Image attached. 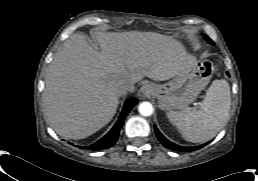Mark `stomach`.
Listing matches in <instances>:
<instances>
[{
  "label": "stomach",
  "instance_id": "stomach-1",
  "mask_svg": "<svg viewBox=\"0 0 258 181\" xmlns=\"http://www.w3.org/2000/svg\"><path fill=\"white\" fill-rule=\"evenodd\" d=\"M214 72L209 60L197 61L194 66L161 85L152 84L151 95L158 100L160 109L170 111L191 104L206 87Z\"/></svg>",
  "mask_w": 258,
  "mask_h": 181
}]
</instances>
